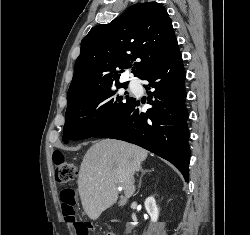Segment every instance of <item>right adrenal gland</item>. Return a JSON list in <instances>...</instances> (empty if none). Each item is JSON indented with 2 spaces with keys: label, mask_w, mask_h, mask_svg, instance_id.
<instances>
[{
  "label": "right adrenal gland",
  "mask_w": 250,
  "mask_h": 235,
  "mask_svg": "<svg viewBox=\"0 0 250 235\" xmlns=\"http://www.w3.org/2000/svg\"><path fill=\"white\" fill-rule=\"evenodd\" d=\"M140 171H141V176H140V180H139V184H138V189H140V187H141L143 175H144L145 173H149V172H151V171H153V170H148V169L144 170V169L141 167V168H140Z\"/></svg>",
  "instance_id": "1"
}]
</instances>
